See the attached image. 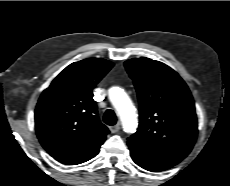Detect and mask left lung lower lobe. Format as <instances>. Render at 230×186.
<instances>
[{
  "label": "left lung lower lobe",
  "mask_w": 230,
  "mask_h": 186,
  "mask_svg": "<svg viewBox=\"0 0 230 186\" xmlns=\"http://www.w3.org/2000/svg\"><path fill=\"white\" fill-rule=\"evenodd\" d=\"M133 161L148 171L159 172L171 168L182 159L173 155L148 151L141 146L128 142Z\"/></svg>",
  "instance_id": "1"
}]
</instances>
